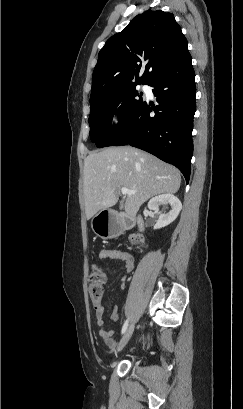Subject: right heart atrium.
Listing matches in <instances>:
<instances>
[{
    "label": "right heart atrium",
    "instance_id": "1",
    "mask_svg": "<svg viewBox=\"0 0 243 409\" xmlns=\"http://www.w3.org/2000/svg\"><path fill=\"white\" fill-rule=\"evenodd\" d=\"M123 120V110L120 106H116L112 109L110 116H109V122L112 126H118L121 124Z\"/></svg>",
    "mask_w": 243,
    "mask_h": 409
}]
</instances>
